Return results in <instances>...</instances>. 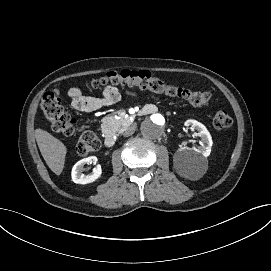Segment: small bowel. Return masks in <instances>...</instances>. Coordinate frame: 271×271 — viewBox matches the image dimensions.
Here are the masks:
<instances>
[{
  "label": "small bowel",
  "mask_w": 271,
  "mask_h": 271,
  "mask_svg": "<svg viewBox=\"0 0 271 271\" xmlns=\"http://www.w3.org/2000/svg\"><path fill=\"white\" fill-rule=\"evenodd\" d=\"M127 95L135 96L134 92L126 91ZM68 95L71 99V106L79 112H96L104 107L116 104L122 93L113 85H106L101 97L86 96L79 87H73Z\"/></svg>",
  "instance_id": "obj_1"
}]
</instances>
